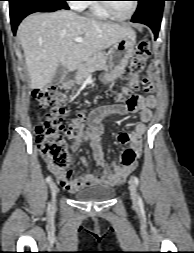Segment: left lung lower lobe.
Returning a JSON list of instances; mask_svg holds the SVG:
<instances>
[{
	"mask_svg": "<svg viewBox=\"0 0 194 253\" xmlns=\"http://www.w3.org/2000/svg\"><path fill=\"white\" fill-rule=\"evenodd\" d=\"M164 1L167 0L138 1V8L132 17V22L148 25L153 30L156 38L160 29Z\"/></svg>",
	"mask_w": 194,
	"mask_h": 253,
	"instance_id": "0a47b994",
	"label": "left lung lower lobe"
}]
</instances>
